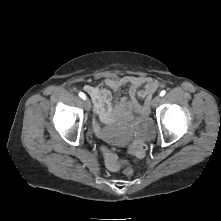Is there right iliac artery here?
Returning <instances> with one entry per match:
<instances>
[{
	"label": "right iliac artery",
	"instance_id": "1",
	"mask_svg": "<svg viewBox=\"0 0 221 221\" xmlns=\"http://www.w3.org/2000/svg\"><path fill=\"white\" fill-rule=\"evenodd\" d=\"M79 96H80L82 99H86V96H85V94H84L83 92H80V93H79Z\"/></svg>",
	"mask_w": 221,
	"mask_h": 221
}]
</instances>
